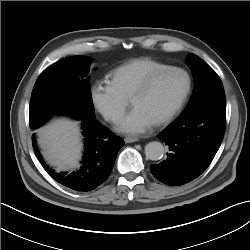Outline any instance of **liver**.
<instances>
[{
    "label": "liver",
    "mask_w": 250,
    "mask_h": 250,
    "mask_svg": "<svg viewBox=\"0 0 250 250\" xmlns=\"http://www.w3.org/2000/svg\"><path fill=\"white\" fill-rule=\"evenodd\" d=\"M40 144L49 163L59 171L77 166L82 147L78 122L59 119L42 127Z\"/></svg>",
    "instance_id": "6515ba94"
}]
</instances>
